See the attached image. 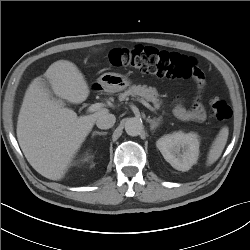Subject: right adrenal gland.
Wrapping results in <instances>:
<instances>
[{
	"label": "right adrenal gland",
	"mask_w": 250,
	"mask_h": 250,
	"mask_svg": "<svg viewBox=\"0 0 250 250\" xmlns=\"http://www.w3.org/2000/svg\"><path fill=\"white\" fill-rule=\"evenodd\" d=\"M94 135H107V132H98V131H94L93 132V136Z\"/></svg>",
	"instance_id": "obj_1"
}]
</instances>
